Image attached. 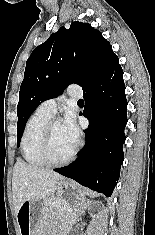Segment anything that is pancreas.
<instances>
[{
    "mask_svg": "<svg viewBox=\"0 0 155 235\" xmlns=\"http://www.w3.org/2000/svg\"><path fill=\"white\" fill-rule=\"evenodd\" d=\"M46 205V213L52 217H56L60 220H68L70 222L76 221V213L69 212L68 206L62 201L57 199H48L44 201Z\"/></svg>",
    "mask_w": 155,
    "mask_h": 235,
    "instance_id": "obj_1",
    "label": "pancreas"
}]
</instances>
